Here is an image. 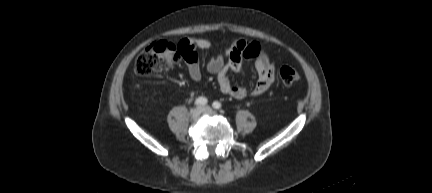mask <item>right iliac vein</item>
Segmentation results:
<instances>
[{
  "label": "right iliac vein",
  "mask_w": 432,
  "mask_h": 193,
  "mask_svg": "<svg viewBox=\"0 0 432 193\" xmlns=\"http://www.w3.org/2000/svg\"><path fill=\"white\" fill-rule=\"evenodd\" d=\"M201 113H202V108L197 107V108H195V109L192 110L191 116H192L193 119H197V118H199V116L201 115Z\"/></svg>",
  "instance_id": "1"
}]
</instances>
